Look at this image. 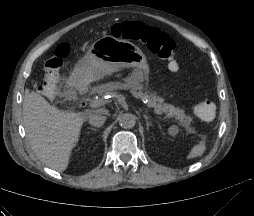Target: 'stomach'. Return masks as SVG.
Here are the masks:
<instances>
[{
	"label": "stomach",
	"instance_id": "1",
	"mask_svg": "<svg viewBox=\"0 0 254 216\" xmlns=\"http://www.w3.org/2000/svg\"><path fill=\"white\" fill-rule=\"evenodd\" d=\"M131 68L126 82L139 84L148 78L149 64L144 52L134 43L105 36L93 43L75 66L71 79L75 84Z\"/></svg>",
	"mask_w": 254,
	"mask_h": 216
}]
</instances>
